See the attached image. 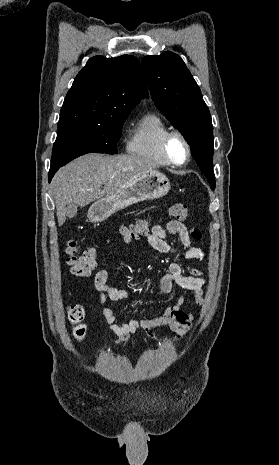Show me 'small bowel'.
<instances>
[{
  "mask_svg": "<svg viewBox=\"0 0 279 465\" xmlns=\"http://www.w3.org/2000/svg\"><path fill=\"white\" fill-rule=\"evenodd\" d=\"M168 234L177 236L180 246L170 245L167 241ZM148 241L155 250L161 253L181 252L187 259L202 260L205 258V252L201 248L192 245L187 227L176 220L169 221L165 227L155 225L148 235ZM205 283V278L199 270L189 269V274L185 275L181 265L178 262H173L170 264L168 272L160 280V291L163 294H169L173 286H177L185 294L181 295L176 303L168 306L163 313L122 324L115 323V313L112 309L103 307L101 313L109 329L118 336L119 346L126 345L134 333H144L157 343H166V341L157 338L154 333L155 328L162 326H168L175 332L176 336L173 342H179L190 332L196 320L192 313L183 309L186 295L190 296L195 304L201 305L203 303V287ZM94 286L99 294L101 304L107 298L112 301H129L132 298L129 290L108 284V272L106 270H99L95 274Z\"/></svg>",
  "mask_w": 279,
  "mask_h": 465,
  "instance_id": "obj_1",
  "label": "small bowel"
}]
</instances>
